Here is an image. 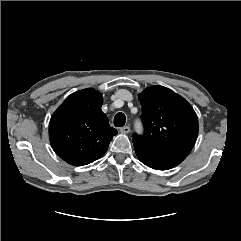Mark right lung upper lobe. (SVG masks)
<instances>
[{
  "instance_id": "right-lung-upper-lobe-1",
  "label": "right lung upper lobe",
  "mask_w": 241,
  "mask_h": 241,
  "mask_svg": "<svg viewBox=\"0 0 241 241\" xmlns=\"http://www.w3.org/2000/svg\"><path fill=\"white\" fill-rule=\"evenodd\" d=\"M102 103L101 93L88 88L69 95L53 113L50 143L67 163L82 166L99 159L117 134L101 110Z\"/></svg>"
}]
</instances>
